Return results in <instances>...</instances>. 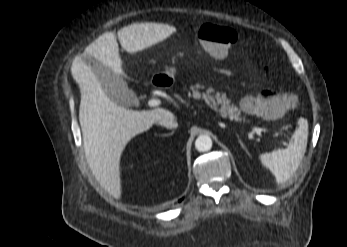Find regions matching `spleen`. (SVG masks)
<instances>
[{
	"label": "spleen",
	"mask_w": 347,
	"mask_h": 247,
	"mask_svg": "<svg viewBox=\"0 0 347 247\" xmlns=\"http://www.w3.org/2000/svg\"><path fill=\"white\" fill-rule=\"evenodd\" d=\"M308 141V122L298 120V128L293 133L286 149L263 153L259 159L275 176L278 184L286 183L297 171L304 157Z\"/></svg>",
	"instance_id": "obj_1"
}]
</instances>
